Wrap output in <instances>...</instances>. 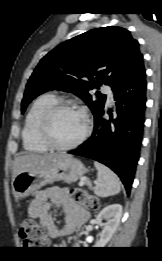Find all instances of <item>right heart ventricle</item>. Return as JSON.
I'll list each match as a JSON object with an SVG mask.
<instances>
[{
    "label": "right heart ventricle",
    "instance_id": "e07e8e85",
    "mask_svg": "<svg viewBox=\"0 0 162 261\" xmlns=\"http://www.w3.org/2000/svg\"><path fill=\"white\" fill-rule=\"evenodd\" d=\"M57 102L55 95L45 93L38 96L32 103L24 122L22 140L24 148L33 153H44L49 148L42 142L39 135V122L44 112Z\"/></svg>",
    "mask_w": 162,
    "mask_h": 261
}]
</instances>
